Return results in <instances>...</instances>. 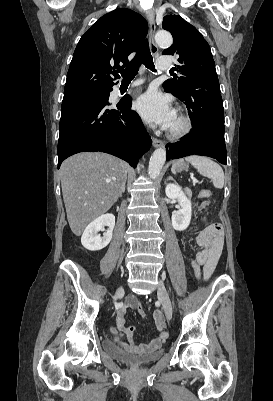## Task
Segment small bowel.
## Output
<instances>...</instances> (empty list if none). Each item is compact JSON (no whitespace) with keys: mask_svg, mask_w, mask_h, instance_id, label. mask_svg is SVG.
<instances>
[{"mask_svg":"<svg viewBox=\"0 0 273 401\" xmlns=\"http://www.w3.org/2000/svg\"><path fill=\"white\" fill-rule=\"evenodd\" d=\"M206 228H212L211 224ZM222 230V229H221ZM198 245L202 248V250L197 254V260L202 264L204 277L205 279H209L214 272L217 261L219 259L220 253L223 247V241H201L200 234L197 238ZM136 297L134 295L127 296L123 306L119 309L116 316V327L111 330V335L114 342L123 348L130 350L132 352H140V351H156L161 344V341H166L168 338L167 328L161 327L164 323V320L161 317L160 311L154 312L155 324L158 331V335L156 338L151 340L148 343L144 344H135L130 342L129 344L123 342L121 338L118 336V331L122 332L129 340L133 337L135 333V327L132 325H126L125 319V311L127 309L135 310V301Z\"/></svg>","mask_w":273,"mask_h":401,"instance_id":"c3829d8e","label":"small bowel"}]
</instances>
